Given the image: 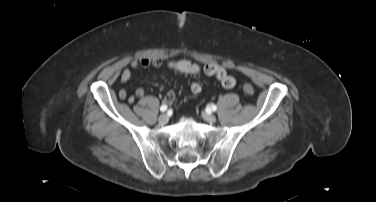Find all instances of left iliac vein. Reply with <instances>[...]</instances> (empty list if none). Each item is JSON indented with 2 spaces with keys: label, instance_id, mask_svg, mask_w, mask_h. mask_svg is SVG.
Returning <instances> with one entry per match:
<instances>
[{
  "label": "left iliac vein",
  "instance_id": "obj_1",
  "mask_svg": "<svg viewBox=\"0 0 376 202\" xmlns=\"http://www.w3.org/2000/svg\"><path fill=\"white\" fill-rule=\"evenodd\" d=\"M203 119L209 123H215L216 122V117L211 114V113H204L202 112Z\"/></svg>",
  "mask_w": 376,
  "mask_h": 202
}]
</instances>
